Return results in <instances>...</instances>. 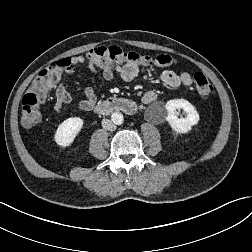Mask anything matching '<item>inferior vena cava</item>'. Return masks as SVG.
I'll return each instance as SVG.
<instances>
[{
  "instance_id": "602c4592",
  "label": "inferior vena cava",
  "mask_w": 252,
  "mask_h": 252,
  "mask_svg": "<svg viewBox=\"0 0 252 252\" xmlns=\"http://www.w3.org/2000/svg\"><path fill=\"white\" fill-rule=\"evenodd\" d=\"M102 127L106 130L109 131H114L116 129V125L115 123H113L111 120L109 119H103L102 120Z\"/></svg>"
}]
</instances>
